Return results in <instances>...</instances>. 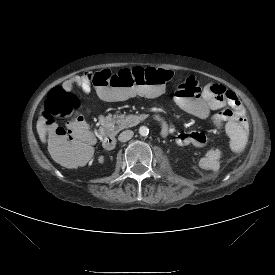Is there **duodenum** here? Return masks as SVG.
<instances>
[{
    "label": "duodenum",
    "mask_w": 275,
    "mask_h": 275,
    "mask_svg": "<svg viewBox=\"0 0 275 275\" xmlns=\"http://www.w3.org/2000/svg\"><path fill=\"white\" fill-rule=\"evenodd\" d=\"M157 120L162 124L163 119L161 117H157ZM115 128L114 122L111 118L105 119L102 125L101 133L103 134V147L106 150H113L116 147V138L114 135ZM164 136V134L162 133Z\"/></svg>",
    "instance_id": "duodenum-1"
}]
</instances>
